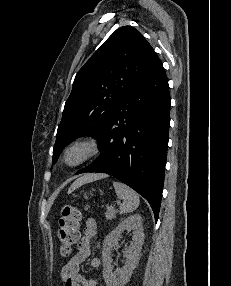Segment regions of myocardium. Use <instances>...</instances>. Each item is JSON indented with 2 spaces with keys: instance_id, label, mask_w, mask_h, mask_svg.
<instances>
[{
  "instance_id": "f54148a6",
  "label": "myocardium",
  "mask_w": 231,
  "mask_h": 286,
  "mask_svg": "<svg viewBox=\"0 0 231 286\" xmlns=\"http://www.w3.org/2000/svg\"><path fill=\"white\" fill-rule=\"evenodd\" d=\"M75 152H80V155L75 161H71L70 157ZM100 152V140L95 135L85 134L74 139L65 147L62 163L68 168H77L98 156Z\"/></svg>"
}]
</instances>
